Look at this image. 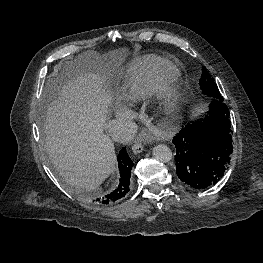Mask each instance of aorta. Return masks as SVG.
Masks as SVG:
<instances>
[{
  "label": "aorta",
  "instance_id": "1",
  "mask_svg": "<svg viewBox=\"0 0 263 263\" xmlns=\"http://www.w3.org/2000/svg\"><path fill=\"white\" fill-rule=\"evenodd\" d=\"M153 156L158 161L167 163L172 159V151L168 146L159 144L153 148Z\"/></svg>",
  "mask_w": 263,
  "mask_h": 263
}]
</instances>
